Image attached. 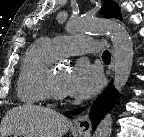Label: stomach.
<instances>
[{
    "mask_svg": "<svg viewBox=\"0 0 144 137\" xmlns=\"http://www.w3.org/2000/svg\"><path fill=\"white\" fill-rule=\"evenodd\" d=\"M80 134H81V132H79ZM14 137H30V136H28V135H14Z\"/></svg>",
    "mask_w": 144,
    "mask_h": 137,
    "instance_id": "0dacf381",
    "label": "stomach"
}]
</instances>
